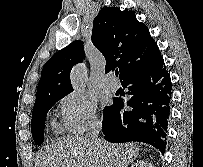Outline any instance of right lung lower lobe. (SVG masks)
I'll return each instance as SVG.
<instances>
[{
    "mask_svg": "<svg viewBox=\"0 0 203 167\" xmlns=\"http://www.w3.org/2000/svg\"><path fill=\"white\" fill-rule=\"evenodd\" d=\"M131 97L123 111L121 98H116L103 116L102 131L112 143L140 141L148 143L163 154L171 102V79L163 58L155 65L129 74L122 80Z\"/></svg>",
    "mask_w": 203,
    "mask_h": 167,
    "instance_id": "98d812e1",
    "label": "right lung lower lobe"
}]
</instances>
